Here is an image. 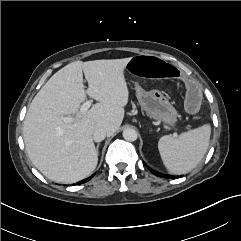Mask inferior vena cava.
<instances>
[{
    "mask_svg": "<svg viewBox=\"0 0 241 241\" xmlns=\"http://www.w3.org/2000/svg\"><path fill=\"white\" fill-rule=\"evenodd\" d=\"M106 137V130L104 128H97L93 132V139L95 142H101L105 139Z\"/></svg>",
    "mask_w": 241,
    "mask_h": 241,
    "instance_id": "obj_1",
    "label": "inferior vena cava"
}]
</instances>
